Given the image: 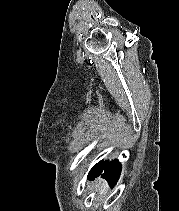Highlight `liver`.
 Returning <instances> with one entry per match:
<instances>
[{
    "label": "liver",
    "mask_w": 179,
    "mask_h": 211,
    "mask_svg": "<svg viewBox=\"0 0 179 211\" xmlns=\"http://www.w3.org/2000/svg\"><path fill=\"white\" fill-rule=\"evenodd\" d=\"M108 185L107 182L103 179H99L98 183L96 184V190L98 193L103 194L107 191Z\"/></svg>",
    "instance_id": "obj_1"
}]
</instances>
